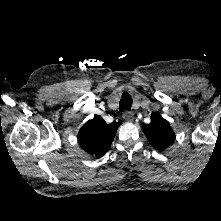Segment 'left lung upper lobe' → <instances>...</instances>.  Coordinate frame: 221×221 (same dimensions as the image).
<instances>
[{
	"label": "left lung upper lobe",
	"instance_id": "left-lung-upper-lobe-1",
	"mask_svg": "<svg viewBox=\"0 0 221 221\" xmlns=\"http://www.w3.org/2000/svg\"><path fill=\"white\" fill-rule=\"evenodd\" d=\"M142 130L150 144L160 151L170 146L175 140V134L169 122L159 114H153L150 124H144Z\"/></svg>",
	"mask_w": 221,
	"mask_h": 221
}]
</instances>
